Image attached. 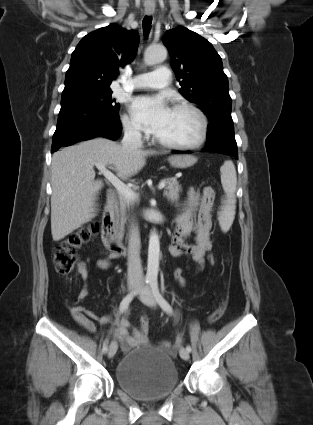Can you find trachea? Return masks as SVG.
Listing matches in <instances>:
<instances>
[{"instance_id": "1", "label": "trachea", "mask_w": 313, "mask_h": 425, "mask_svg": "<svg viewBox=\"0 0 313 425\" xmlns=\"http://www.w3.org/2000/svg\"><path fill=\"white\" fill-rule=\"evenodd\" d=\"M151 23H152V17L151 16H145L143 19V30H144V34L147 36L150 28H151Z\"/></svg>"}]
</instances>
